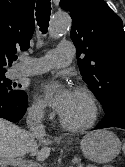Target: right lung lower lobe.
I'll list each match as a JSON object with an SVG mask.
<instances>
[{"mask_svg":"<svg viewBox=\"0 0 125 167\" xmlns=\"http://www.w3.org/2000/svg\"><path fill=\"white\" fill-rule=\"evenodd\" d=\"M26 93L18 99H10L0 93V117L11 122L19 121L27 109Z\"/></svg>","mask_w":125,"mask_h":167,"instance_id":"obj_1","label":"right lung lower lobe"}]
</instances>
